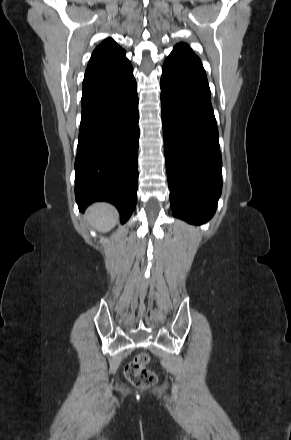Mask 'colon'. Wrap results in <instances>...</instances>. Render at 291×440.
Here are the masks:
<instances>
[{
    "label": "colon",
    "mask_w": 291,
    "mask_h": 440,
    "mask_svg": "<svg viewBox=\"0 0 291 440\" xmlns=\"http://www.w3.org/2000/svg\"><path fill=\"white\" fill-rule=\"evenodd\" d=\"M150 363V356L147 353H140L125 368L126 377L137 388H146L157 383L158 378L155 372L147 369Z\"/></svg>",
    "instance_id": "1"
}]
</instances>
